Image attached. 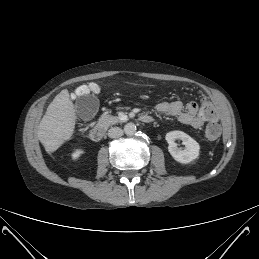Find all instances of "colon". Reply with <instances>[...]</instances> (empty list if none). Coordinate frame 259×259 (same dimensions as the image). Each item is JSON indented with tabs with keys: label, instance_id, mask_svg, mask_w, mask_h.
I'll return each mask as SVG.
<instances>
[{
	"label": "colon",
	"instance_id": "1",
	"mask_svg": "<svg viewBox=\"0 0 259 259\" xmlns=\"http://www.w3.org/2000/svg\"><path fill=\"white\" fill-rule=\"evenodd\" d=\"M99 90L100 86L96 83H92L78 87L76 89V93L78 95H86L90 92H98ZM194 95L196 97H201L203 95V90L201 88H196L194 90ZM202 112L205 114L206 118L211 121L205 129L206 138L211 141L218 139L221 134V127L215 120H217L220 116L219 109L212 106L209 101L204 99L202 103Z\"/></svg>",
	"mask_w": 259,
	"mask_h": 259
}]
</instances>
